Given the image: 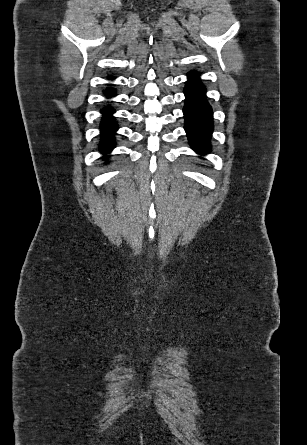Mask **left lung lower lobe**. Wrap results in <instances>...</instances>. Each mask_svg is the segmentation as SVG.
Segmentation results:
<instances>
[{
  "mask_svg": "<svg viewBox=\"0 0 307 445\" xmlns=\"http://www.w3.org/2000/svg\"><path fill=\"white\" fill-rule=\"evenodd\" d=\"M186 100L183 109L185 130L190 145L198 153L210 150V137L213 130L212 109L205 97V87L196 72L189 73L184 90Z\"/></svg>",
  "mask_w": 307,
  "mask_h": 445,
  "instance_id": "left-lung-lower-lobe-1",
  "label": "left lung lower lobe"
}]
</instances>
